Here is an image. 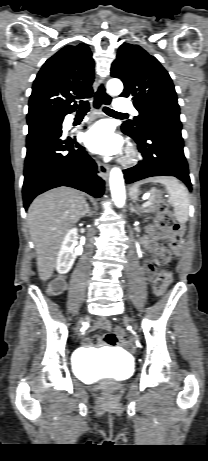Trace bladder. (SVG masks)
<instances>
[{"label":"bladder","mask_w":208,"mask_h":461,"mask_svg":"<svg viewBox=\"0 0 208 461\" xmlns=\"http://www.w3.org/2000/svg\"><path fill=\"white\" fill-rule=\"evenodd\" d=\"M112 357L94 361L89 353L84 352L76 357L74 367L77 374L83 378L92 375L95 378L111 377L117 380L128 378L131 374V360L120 354Z\"/></svg>","instance_id":"1"}]
</instances>
